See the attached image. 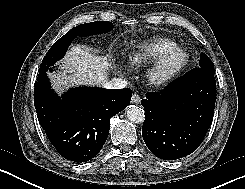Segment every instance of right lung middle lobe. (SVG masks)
Wrapping results in <instances>:
<instances>
[{"mask_svg":"<svg viewBox=\"0 0 245 189\" xmlns=\"http://www.w3.org/2000/svg\"><path fill=\"white\" fill-rule=\"evenodd\" d=\"M112 28L113 24L108 21L85 23L72 28L54 43L46 53V56L40 65L39 74L45 73L50 66L65 55L69 44L75 37L101 34L112 30Z\"/></svg>","mask_w":245,"mask_h":189,"instance_id":"dd1d6c3e","label":"right lung middle lobe"}]
</instances>
